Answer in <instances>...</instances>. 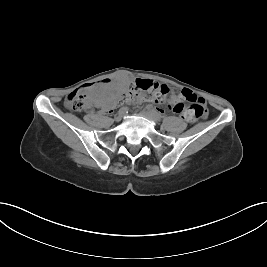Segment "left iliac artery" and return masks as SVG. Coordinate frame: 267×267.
<instances>
[{
  "label": "left iliac artery",
  "instance_id": "1",
  "mask_svg": "<svg viewBox=\"0 0 267 267\" xmlns=\"http://www.w3.org/2000/svg\"><path fill=\"white\" fill-rule=\"evenodd\" d=\"M148 111L157 121H160L162 119V116L154 109L148 108Z\"/></svg>",
  "mask_w": 267,
  "mask_h": 267
}]
</instances>
